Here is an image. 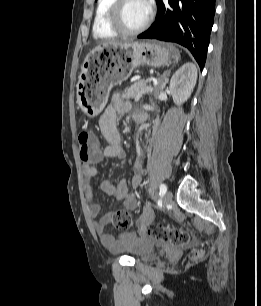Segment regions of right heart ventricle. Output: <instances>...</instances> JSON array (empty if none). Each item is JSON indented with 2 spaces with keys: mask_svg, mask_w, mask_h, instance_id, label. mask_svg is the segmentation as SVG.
<instances>
[{
  "mask_svg": "<svg viewBox=\"0 0 261 306\" xmlns=\"http://www.w3.org/2000/svg\"><path fill=\"white\" fill-rule=\"evenodd\" d=\"M114 0H98L94 12L92 34L95 39H112L118 37L108 22V12Z\"/></svg>",
  "mask_w": 261,
  "mask_h": 306,
  "instance_id": "obj_1",
  "label": "right heart ventricle"
}]
</instances>
